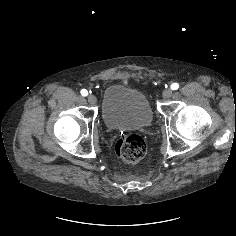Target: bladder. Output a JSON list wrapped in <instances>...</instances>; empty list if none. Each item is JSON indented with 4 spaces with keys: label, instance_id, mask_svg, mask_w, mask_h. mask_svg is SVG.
<instances>
[{
    "label": "bladder",
    "instance_id": "obj_1",
    "mask_svg": "<svg viewBox=\"0 0 236 236\" xmlns=\"http://www.w3.org/2000/svg\"><path fill=\"white\" fill-rule=\"evenodd\" d=\"M101 110L105 125L112 130L142 128L153 120L148 96L122 84H113L104 90Z\"/></svg>",
    "mask_w": 236,
    "mask_h": 236
}]
</instances>
